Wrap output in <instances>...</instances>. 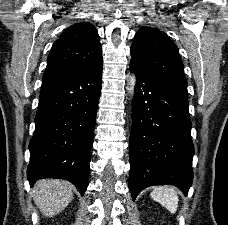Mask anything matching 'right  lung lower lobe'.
<instances>
[{"label": "right lung lower lobe", "instance_id": "obj_1", "mask_svg": "<svg viewBox=\"0 0 228 225\" xmlns=\"http://www.w3.org/2000/svg\"><path fill=\"white\" fill-rule=\"evenodd\" d=\"M103 60L48 80L41 87L30 141L27 178L72 182L84 194L89 181L91 148L101 92Z\"/></svg>", "mask_w": 228, "mask_h": 225}]
</instances>
